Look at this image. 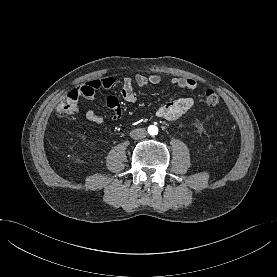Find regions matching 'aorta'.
Instances as JSON below:
<instances>
[{
    "mask_svg": "<svg viewBox=\"0 0 277 277\" xmlns=\"http://www.w3.org/2000/svg\"><path fill=\"white\" fill-rule=\"evenodd\" d=\"M148 132L150 135H157L158 134V128L156 126H149Z\"/></svg>",
    "mask_w": 277,
    "mask_h": 277,
    "instance_id": "obj_1",
    "label": "aorta"
}]
</instances>
